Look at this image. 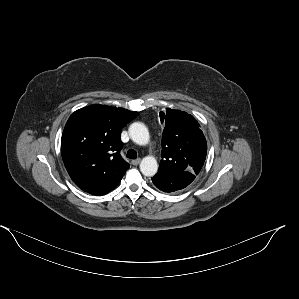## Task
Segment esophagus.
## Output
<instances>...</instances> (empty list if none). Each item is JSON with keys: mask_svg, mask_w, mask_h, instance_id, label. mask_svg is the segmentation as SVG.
I'll return each mask as SVG.
<instances>
[{"mask_svg": "<svg viewBox=\"0 0 299 299\" xmlns=\"http://www.w3.org/2000/svg\"><path fill=\"white\" fill-rule=\"evenodd\" d=\"M140 162H141V159H140V158H138V159L132 160V162H131V163H132L133 165H135V166H136V165H138Z\"/></svg>", "mask_w": 299, "mask_h": 299, "instance_id": "34e87169", "label": "esophagus"}]
</instances>
